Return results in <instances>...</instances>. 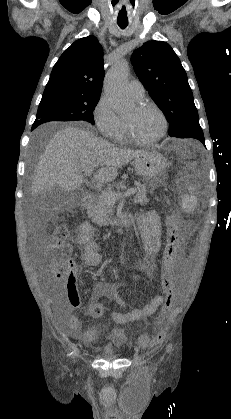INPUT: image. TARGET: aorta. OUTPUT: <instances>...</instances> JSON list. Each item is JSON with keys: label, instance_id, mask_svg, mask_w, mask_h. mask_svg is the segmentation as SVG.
Here are the masks:
<instances>
[{"label": "aorta", "instance_id": "aorta-1", "mask_svg": "<svg viewBox=\"0 0 231 419\" xmlns=\"http://www.w3.org/2000/svg\"><path fill=\"white\" fill-rule=\"evenodd\" d=\"M128 74L129 66L127 61L120 60L109 70L105 77L104 90L116 112H124L130 106L126 90Z\"/></svg>", "mask_w": 231, "mask_h": 419}]
</instances>
